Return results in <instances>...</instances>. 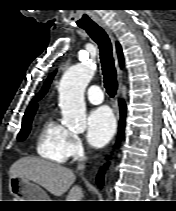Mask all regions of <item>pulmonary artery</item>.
Instances as JSON below:
<instances>
[{"label": "pulmonary artery", "mask_w": 176, "mask_h": 211, "mask_svg": "<svg viewBox=\"0 0 176 211\" xmlns=\"http://www.w3.org/2000/svg\"><path fill=\"white\" fill-rule=\"evenodd\" d=\"M87 99L92 104H101L104 100L102 90L97 85H92L87 89L86 92Z\"/></svg>", "instance_id": "pulmonary-artery-1"}]
</instances>
